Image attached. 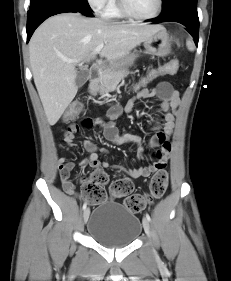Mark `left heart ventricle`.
<instances>
[{
    "label": "left heart ventricle",
    "instance_id": "1",
    "mask_svg": "<svg viewBox=\"0 0 231 281\" xmlns=\"http://www.w3.org/2000/svg\"><path fill=\"white\" fill-rule=\"evenodd\" d=\"M128 8L138 16H149L157 8V0H125Z\"/></svg>",
    "mask_w": 231,
    "mask_h": 281
}]
</instances>
